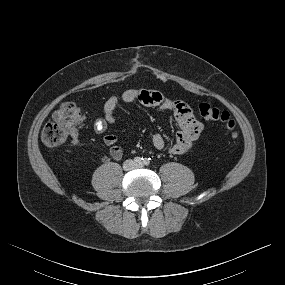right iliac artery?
Returning a JSON list of instances; mask_svg holds the SVG:
<instances>
[{"label": "right iliac artery", "mask_w": 285, "mask_h": 285, "mask_svg": "<svg viewBox=\"0 0 285 285\" xmlns=\"http://www.w3.org/2000/svg\"><path fill=\"white\" fill-rule=\"evenodd\" d=\"M143 158H141V157H135L134 158V162L136 163V164H141L142 162H143Z\"/></svg>", "instance_id": "obj_1"}]
</instances>
